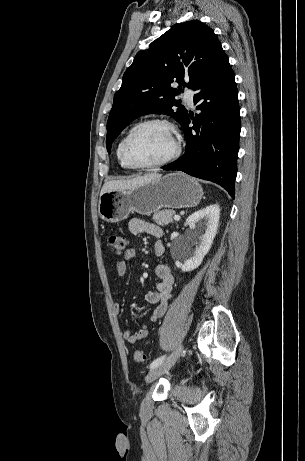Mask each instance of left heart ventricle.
I'll return each mask as SVG.
<instances>
[{
    "label": "left heart ventricle",
    "mask_w": 305,
    "mask_h": 461,
    "mask_svg": "<svg viewBox=\"0 0 305 461\" xmlns=\"http://www.w3.org/2000/svg\"><path fill=\"white\" fill-rule=\"evenodd\" d=\"M174 138L160 125L141 129L130 144V154L139 163H154L169 156L174 150Z\"/></svg>",
    "instance_id": "obj_1"
}]
</instances>
